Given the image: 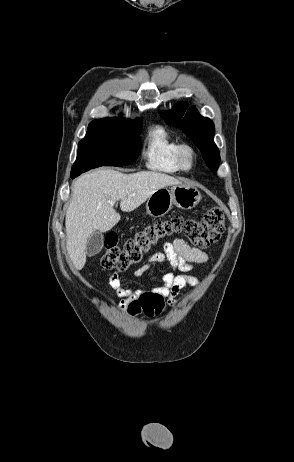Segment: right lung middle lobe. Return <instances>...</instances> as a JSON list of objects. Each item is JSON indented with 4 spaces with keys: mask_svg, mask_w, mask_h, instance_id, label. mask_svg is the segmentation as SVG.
I'll list each match as a JSON object with an SVG mask.
<instances>
[{
    "mask_svg": "<svg viewBox=\"0 0 294 462\" xmlns=\"http://www.w3.org/2000/svg\"><path fill=\"white\" fill-rule=\"evenodd\" d=\"M142 119L128 121L121 118H104L89 124L84 139L79 142L78 154L71 176L95 168L103 156H109L113 166H125L137 159L141 142L139 134Z\"/></svg>",
    "mask_w": 294,
    "mask_h": 462,
    "instance_id": "obj_1",
    "label": "right lung middle lobe"
}]
</instances>
